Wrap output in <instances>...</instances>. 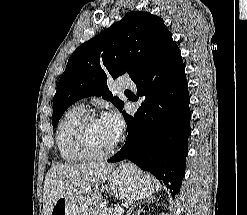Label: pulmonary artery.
I'll use <instances>...</instances> for the list:
<instances>
[{"instance_id": "obj_1", "label": "pulmonary artery", "mask_w": 247, "mask_h": 215, "mask_svg": "<svg viewBox=\"0 0 247 215\" xmlns=\"http://www.w3.org/2000/svg\"><path fill=\"white\" fill-rule=\"evenodd\" d=\"M117 87L126 88V89H135V83L133 82L132 79L121 76L117 79ZM80 106L82 105L80 104Z\"/></svg>"}]
</instances>
